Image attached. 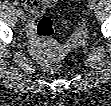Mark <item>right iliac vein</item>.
<instances>
[{
    "label": "right iliac vein",
    "mask_w": 111,
    "mask_h": 106,
    "mask_svg": "<svg viewBox=\"0 0 111 106\" xmlns=\"http://www.w3.org/2000/svg\"><path fill=\"white\" fill-rule=\"evenodd\" d=\"M16 13H17V16L21 19H23L25 16L22 9H17Z\"/></svg>",
    "instance_id": "1"
}]
</instances>
